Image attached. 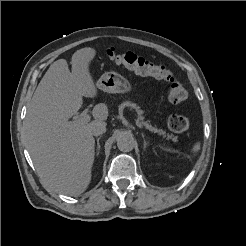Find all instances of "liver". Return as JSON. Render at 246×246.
I'll return each mask as SVG.
<instances>
[{"mask_svg":"<svg viewBox=\"0 0 246 246\" xmlns=\"http://www.w3.org/2000/svg\"><path fill=\"white\" fill-rule=\"evenodd\" d=\"M96 55L93 48L77 50L71 58L72 72L65 59L47 70L28 105L24 140L41 180L54 190L76 196L91 181L95 140L93 125L105 122L108 108L94 106V120L86 124L68 121L82 106V97L94 98L97 89L89 71Z\"/></svg>","mask_w":246,"mask_h":246,"instance_id":"6515ba94","label":"liver"}]
</instances>
